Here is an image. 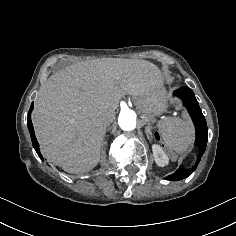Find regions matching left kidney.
Instances as JSON below:
<instances>
[{"label": "left kidney", "instance_id": "5707ae66", "mask_svg": "<svg viewBox=\"0 0 236 236\" xmlns=\"http://www.w3.org/2000/svg\"><path fill=\"white\" fill-rule=\"evenodd\" d=\"M153 151H154L156 163H157L159 166L165 165V164L167 163V158H166V156L164 155V153H163V151L161 150V148L158 147V146H154V147H153Z\"/></svg>", "mask_w": 236, "mask_h": 236}]
</instances>
